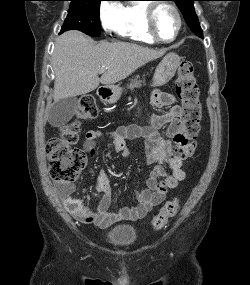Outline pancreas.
I'll list each match as a JSON object with an SVG mask.
<instances>
[{
	"label": "pancreas",
	"instance_id": "cf45deb5",
	"mask_svg": "<svg viewBox=\"0 0 250 285\" xmlns=\"http://www.w3.org/2000/svg\"><path fill=\"white\" fill-rule=\"evenodd\" d=\"M139 76H136L135 79H131L130 84L128 85V88H135V87H140L142 83L145 85L144 81L138 80Z\"/></svg>",
	"mask_w": 250,
	"mask_h": 285
}]
</instances>
